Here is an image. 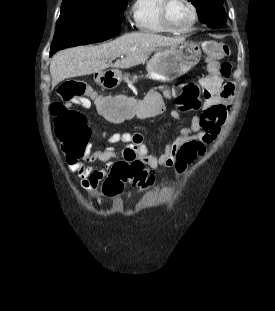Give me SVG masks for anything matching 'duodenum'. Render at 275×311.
<instances>
[{
  "label": "duodenum",
  "instance_id": "410a0bca",
  "mask_svg": "<svg viewBox=\"0 0 275 311\" xmlns=\"http://www.w3.org/2000/svg\"><path fill=\"white\" fill-rule=\"evenodd\" d=\"M101 70H96V74L94 75V80L95 81H100L101 80Z\"/></svg>",
  "mask_w": 275,
  "mask_h": 311
}]
</instances>
